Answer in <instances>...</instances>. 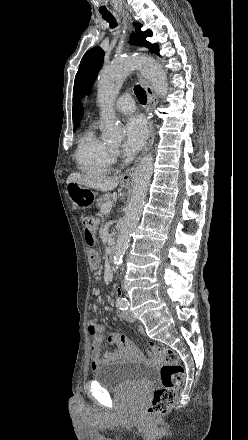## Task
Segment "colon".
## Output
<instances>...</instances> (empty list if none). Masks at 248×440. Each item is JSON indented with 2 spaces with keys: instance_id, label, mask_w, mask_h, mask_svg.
Segmentation results:
<instances>
[{
  "instance_id": "obj_1",
  "label": "colon",
  "mask_w": 248,
  "mask_h": 440,
  "mask_svg": "<svg viewBox=\"0 0 248 440\" xmlns=\"http://www.w3.org/2000/svg\"><path fill=\"white\" fill-rule=\"evenodd\" d=\"M83 223L86 242L92 246L95 241L93 228L95 219L86 216L83 218ZM89 260L93 268L98 266V257L92 250L89 252ZM153 348L163 353L164 364L160 368L161 386L154 391L152 402L146 409V413L149 417H159L168 413L172 407L177 391L183 384L185 371L175 351L157 344Z\"/></svg>"
}]
</instances>
